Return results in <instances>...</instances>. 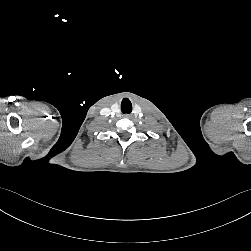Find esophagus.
Wrapping results in <instances>:
<instances>
[{"label": "esophagus", "instance_id": "esophagus-1", "mask_svg": "<svg viewBox=\"0 0 251 251\" xmlns=\"http://www.w3.org/2000/svg\"><path fill=\"white\" fill-rule=\"evenodd\" d=\"M125 117H126V118H129V117H130V115L126 114V115H125Z\"/></svg>", "mask_w": 251, "mask_h": 251}]
</instances>
